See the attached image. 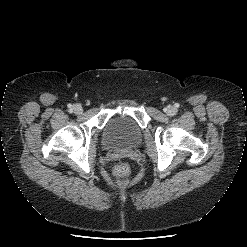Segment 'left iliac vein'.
<instances>
[{
  "instance_id": "1",
  "label": "left iliac vein",
  "mask_w": 247,
  "mask_h": 247,
  "mask_svg": "<svg viewBox=\"0 0 247 247\" xmlns=\"http://www.w3.org/2000/svg\"><path fill=\"white\" fill-rule=\"evenodd\" d=\"M174 112H175V109L173 107L166 108V114L167 115H172V114H174Z\"/></svg>"
}]
</instances>
